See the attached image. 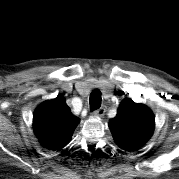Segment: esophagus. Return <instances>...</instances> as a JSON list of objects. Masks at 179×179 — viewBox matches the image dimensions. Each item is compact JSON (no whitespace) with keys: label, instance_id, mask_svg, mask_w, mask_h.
<instances>
[{"label":"esophagus","instance_id":"1","mask_svg":"<svg viewBox=\"0 0 179 179\" xmlns=\"http://www.w3.org/2000/svg\"><path fill=\"white\" fill-rule=\"evenodd\" d=\"M104 113H105V109H104L103 107H101V108H99V109L93 111V112H92V115H93L94 117H102V116L104 115Z\"/></svg>","mask_w":179,"mask_h":179}]
</instances>
